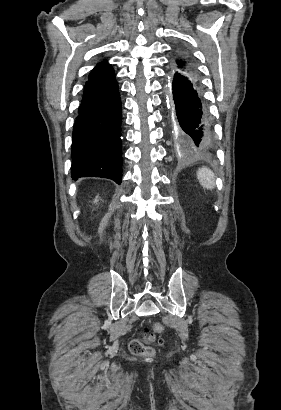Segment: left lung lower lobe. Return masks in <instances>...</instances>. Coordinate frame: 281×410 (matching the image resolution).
<instances>
[{"mask_svg": "<svg viewBox=\"0 0 281 410\" xmlns=\"http://www.w3.org/2000/svg\"><path fill=\"white\" fill-rule=\"evenodd\" d=\"M169 80L173 95L171 119L176 139L194 151H211L215 145L214 135L198 78L172 70Z\"/></svg>", "mask_w": 281, "mask_h": 410, "instance_id": "1", "label": "left lung lower lobe"}]
</instances>
